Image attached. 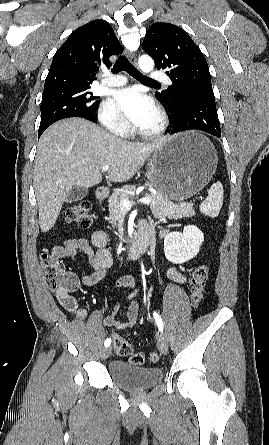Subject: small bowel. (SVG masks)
<instances>
[{
    "label": "small bowel",
    "mask_w": 269,
    "mask_h": 445,
    "mask_svg": "<svg viewBox=\"0 0 269 445\" xmlns=\"http://www.w3.org/2000/svg\"><path fill=\"white\" fill-rule=\"evenodd\" d=\"M147 230L149 228L146 224H142L140 231ZM166 231L161 233V236H165ZM108 237L107 234L102 230H97L92 234L91 243H89L84 238H75L65 241L62 245L56 246L52 251V257L56 260H61L66 257H75L79 254H83L88 261L91 268V272L85 273L82 277V283L87 286L94 285L97 283L105 274L106 270L112 265V255L107 248ZM68 275L73 278L78 284V279L72 273ZM168 277L174 282L184 284L186 282V277L175 267H171L167 272ZM136 281L132 276H122L120 277L115 288L121 290L123 288L134 289L136 287ZM56 296L62 306L73 316L79 320H84L87 317V311L79 307L76 300L69 295H66L62 291H57ZM68 300V302L66 301ZM105 309L108 310L107 302H105ZM119 310V304L115 303L109 309L105 319L104 324L108 327H115L120 330L128 329L133 327L139 315V304L135 300L133 301L126 312L125 319H117V313Z\"/></svg>",
    "instance_id": "small-bowel-1"
}]
</instances>
